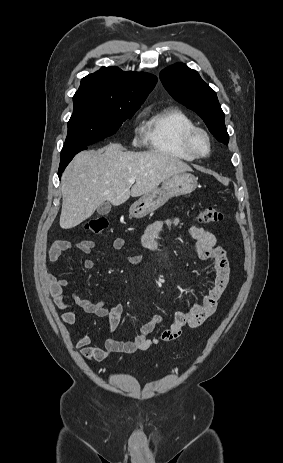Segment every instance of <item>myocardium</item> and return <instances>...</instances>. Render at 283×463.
<instances>
[{
    "label": "myocardium",
    "instance_id": "1",
    "mask_svg": "<svg viewBox=\"0 0 283 463\" xmlns=\"http://www.w3.org/2000/svg\"><path fill=\"white\" fill-rule=\"evenodd\" d=\"M199 139H203L206 144V149L204 151L200 150L198 147ZM185 146L194 155V157H208L212 151L211 137L205 129L195 126L185 135Z\"/></svg>",
    "mask_w": 283,
    "mask_h": 463
}]
</instances>
